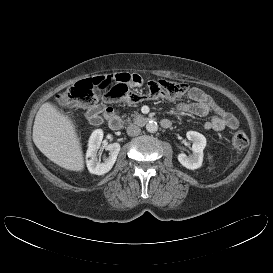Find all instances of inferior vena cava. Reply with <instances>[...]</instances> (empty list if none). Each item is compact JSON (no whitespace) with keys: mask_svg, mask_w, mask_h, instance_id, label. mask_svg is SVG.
<instances>
[{"mask_svg":"<svg viewBox=\"0 0 273 273\" xmlns=\"http://www.w3.org/2000/svg\"><path fill=\"white\" fill-rule=\"evenodd\" d=\"M140 132H141V129H140V127L137 126V125L131 124V125H129V126L127 127V134H128L129 136H137V135L140 134Z\"/></svg>","mask_w":273,"mask_h":273,"instance_id":"602c4592","label":"inferior vena cava"}]
</instances>
